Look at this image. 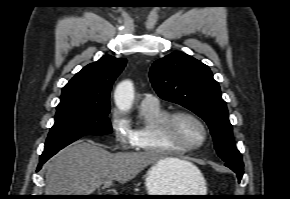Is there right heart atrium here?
Segmentation results:
<instances>
[{"mask_svg": "<svg viewBox=\"0 0 290 199\" xmlns=\"http://www.w3.org/2000/svg\"><path fill=\"white\" fill-rule=\"evenodd\" d=\"M111 128L118 148L128 149L132 147V131L129 122L117 110H114L110 118Z\"/></svg>", "mask_w": 290, "mask_h": 199, "instance_id": "obj_1", "label": "right heart atrium"}]
</instances>
